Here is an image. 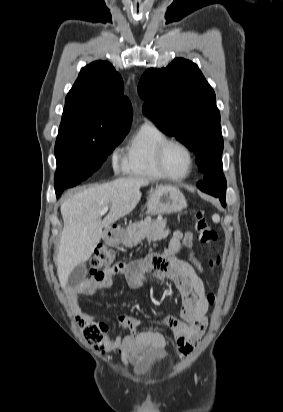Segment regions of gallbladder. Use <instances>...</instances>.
Wrapping results in <instances>:
<instances>
[{"label":"gallbladder","mask_w":283,"mask_h":412,"mask_svg":"<svg viewBox=\"0 0 283 412\" xmlns=\"http://www.w3.org/2000/svg\"><path fill=\"white\" fill-rule=\"evenodd\" d=\"M87 268L84 263L77 265L69 274L67 285L69 287L78 286L86 277Z\"/></svg>","instance_id":"1"}]
</instances>
